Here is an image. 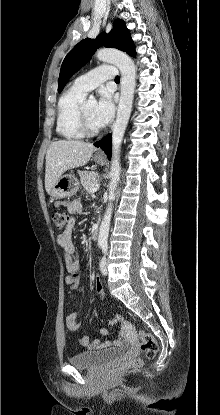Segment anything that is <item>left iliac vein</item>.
<instances>
[{"label":"left iliac vein","instance_id":"4c4485c4","mask_svg":"<svg viewBox=\"0 0 220 415\" xmlns=\"http://www.w3.org/2000/svg\"><path fill=\"white\" fill-rule=\"evenodd\" d=\"M100 270H101L103 275H107L108 270H107V258H106V256H103V258L101 259Z\"/></svg>","mask_w":220,"mask_h":415}]
</instances>
